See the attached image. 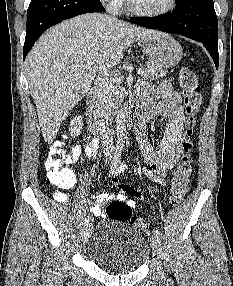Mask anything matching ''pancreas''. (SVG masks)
I'll use <instances>...</instances> for the list:
<instances>
[{"label":"pancreas","mask_w":233,"mask_h":286,"mask_svg":"<svg viewBox=\"0 0 233 286\" xmlns=\"http://www.w3.org/2000/svg\"><path fill=\"white\" fill-rule=\"evenodd\" d=\"M141 69L144 70V74L141 75L143 80H156L167 74V71L163 67L155 66L151 63H146L145 66L141 67ZM119 87L120 81L118 79L114 80L110 88L113 102L117 99V91Z\"/></svg>","instance_id":"pancreas-1"}]
</instances>
